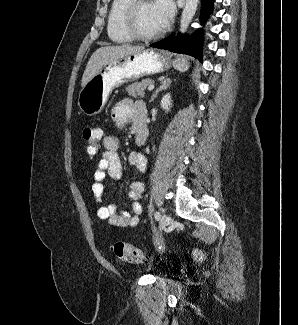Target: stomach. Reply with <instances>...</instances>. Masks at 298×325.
Here are the masks:
<instances>
[{"label": "stomach", "mask_w": 298, "mask_h": 325, "mask_svg": "<svg viewBox=\"0 0 298 325\" xmlns=\"http://www.w3.org/2000/svg\"><path fill=\"white\" fill-rule=\"evenodd\" d=\"M184 64L185 58L175 64ZM171 60L163 50L145 48L137 54H127L124 58H113L101 66L99 72L90 78L78 94V106L84 114L93 116L103 110L114 88L125 82L139 80L143 76L159 74L171 68Z\"/></svg>", "instance_id": "stomach-1"}]
</instances>
